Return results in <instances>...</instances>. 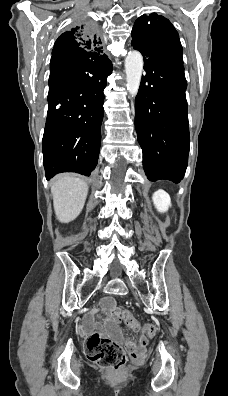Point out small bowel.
<instances>
[{
    "label": "small bowel",
    "instance_id": "obj_1",
    "mask_svg": "<svg viewBox=\"0 0 228 396\" xmlns=\"http://www.w3.org/2000/svg\"><path fill=\"white\" fill-rule=\"evenodd\" d=\"M102 307L105 311L104 326L107 331L114 336L116 339L124 343L126 349L128 350L130 356L133 359H138L142 354L147 345V338L142 335L139 339V346L136 347L135 343L126 338L118 326V320L120 316V311L115 304V301L111 298H107L103 301ZM91 327V322L88 319L83 327L86 332Z\"/></svg>",
    "mask_w": 228,
    "mask_h": 396
}]
</instances>
